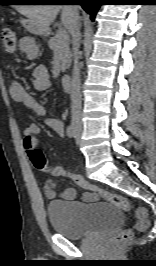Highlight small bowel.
<instances>
[{
    "label": "small bowel",
    "instance_id": "c3829d8e",
    "mask_svg": "<svg viewBox=\"0 0 156 266\" xmlns=\"http://www.w3.org/2000/svg\"><path fill=\"white\" fill-rule=\"evenodd\" d=\"M20 50L26 54L30 59L36 57L38 53V47L35 41L30 37H23L20 40ZM33 84L35 89L43 91L49 88L50 78L48 70L45 66L41 65L35 68L33 72ZM10 97L18 103H22L27 108L31 109L35 114L41 117L46 116V110L44 106L32 95H30L20 82L17 80H11L9 83ZM46 124L55 131L58 136L64 135V124L58 119L45 118ZM23 147L27 153L33 149L38 148L37 135L40 133V127L36 123H28L24 128ZM45 194L48 198H60L62 200H74L76 198V190L74 188H66L61 192H57L55 182L47 178L44 182ZM83 199L87 202H93L98 200V196L87 192L83 195Z\"/></svg>",
    "mask_w": 156,
    "mask_h": 266
}]
</instances>
